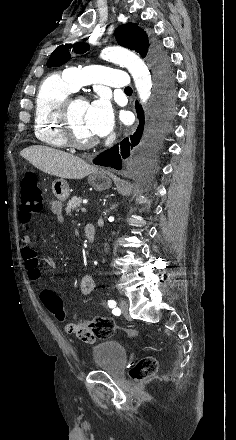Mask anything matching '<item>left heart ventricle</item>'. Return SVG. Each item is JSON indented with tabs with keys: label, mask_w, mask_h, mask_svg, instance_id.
<instances>
[{
	"label": "left heart ventricle",
	"mask_w": 236,
	"mask_h": 440,
	"mask_svg": "<svg viewBox=\"0 0 236 440\" xmlns=\"http://www.w3.org/2000/svg\"><path fill=\"white\" fill-rule=\"evenodd\" d=\"M88 103L77 101L71 110V121L74 133L79 140L95 138V134L87 120Z\"/></svg>",
	"instance_id": "1"
}]
</instances>
